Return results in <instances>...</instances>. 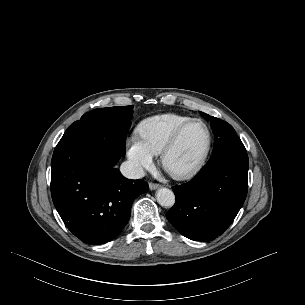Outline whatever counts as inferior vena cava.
<instances>
[{
  "label": "inferior vena cava",
  "mask_w": 305,
  "mask_h": 305,
  "mask_svg": "<svg viewBox=\"0 0 305 305\" xmlns=\"http://www.w3.org/2000/svg\"><path fill=\"white\" fill-rule=\"evenodd\" d=\"M120 171L128 179H140L145 175L142 166L132 161L123 162Z\"/></svg>",
  "instance_id": "1"
}]
</instances>
